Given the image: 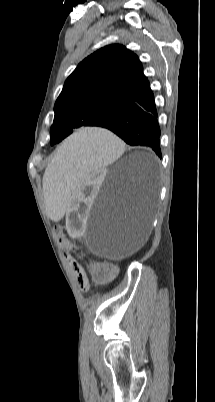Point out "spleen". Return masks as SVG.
I'll list each match as a JSON object with an SVG mask.
<instances>
[{"label": "spleen", "instance_id": "3e777b00", "mask_svg": "<svg viewBox=\"0 0 215 402\" xmlns=\"http://www.w3.org/2000/svg\"><path fill=\"white\" fill-rule=\"evenodd\" d=\"M123 150L122 142L110 128H76L75 133L60 143L51 166L45 173L44 186L50 220H59L71 203L76 186L84 184L98 169L113 162Z\"/></svg>", "mask_w": 215, "mask_h": 402}]
</instances>
